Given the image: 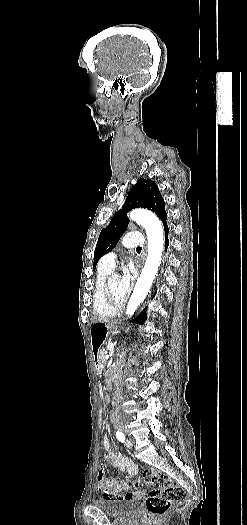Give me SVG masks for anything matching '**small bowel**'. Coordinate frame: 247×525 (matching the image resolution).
Segmentation results:
<instances>
[{
  "instance_id": "small-bowel-1",
  "label": "small bowel",
  "mask_w": 247,
  "mask_h": 525,
  "mask_svg": "<svg viewBox=\"0 0 247 525\" xmlns=\"http://www.w3.org/2000/svg\"><path fill=\"white\" fill-rule=\"evenodd\" d=\"M104 449L106 451L107 457L110 460V462L113 463L115 467H117L120 471L125 472L129 475H135L138 471L137 466L126 456L118 454L113 449L112 441L108 435L103 436L102 440ZM97 482L99 484V489L101 491H106L107 493H110V491H114L116 489V484L111 479H106L105 474L102 469H100L97 473ZM130 484L129 483H123L122 485H119V494L116 496L111 497H105V499L110 501H119L121 500L122 496L120 495L121 490H129ZM138 493H127L126 498H130L132 496H136Z\"/></svg>"
}]
</instances>
